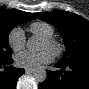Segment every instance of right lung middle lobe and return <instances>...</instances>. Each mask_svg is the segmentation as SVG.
I'll return each instance as SVG.
<instances>
[{
  "label": "right lung middle lobe",
  "instance_id": "1",
  "mask_svg": "<svg viewBox=\"0 0 89 89\" xmlns=\"http://www.w3.org/2000/svg\"><path fill=\"white\" fill-rule=\"evenodd\" d=\"M22 23H24V21L17 20L7 15H0V59L11 56L12 51L9 46L8 36L14 27Z\"/></svg>",
  "mask_w": 89,
  "mask_h": 89
}]
</instances>
